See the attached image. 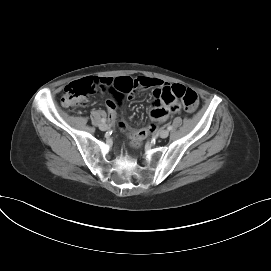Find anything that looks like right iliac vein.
I'll list each match as a JSON object with an SVG mask.
<instances>
[{
    "label": "right iliac vein",
    "mask_w": 271,
    "mask_h": 271,
    "mask_svg": "<svg viewBox=\"0 0 271 271\" xmlns=\"http://www.w3.org/2000/svg\"><path fill=\"white\" fill-rule=\"evenodd\" d=\"M100 130L106 131L108 129V125L106 123H101L99 125Z\"/></svg>",
    "instance_id": "1"
}]
</instances>
